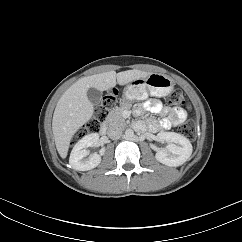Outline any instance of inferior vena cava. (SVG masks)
I'll list each match as a JSON object with an SVG mask.
<instances>
[{
	"instance_id": "1",
	"label": "inferior vena cava",
	"mask_w": 242,
	"mask_h": 242,
	"mask_svg": "<svg viewBox=\"0 0 242 242\" xmlns=\"http://www.w3.org/2000/svg\"><path fill=\"white\" fill-rule=\"evenodd\" d=\"M108 136L111 139H119L122 136V129L118 126L111 125L108 129Z\"/></svg>"
}]
</instances>
